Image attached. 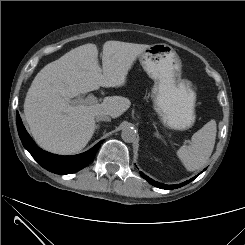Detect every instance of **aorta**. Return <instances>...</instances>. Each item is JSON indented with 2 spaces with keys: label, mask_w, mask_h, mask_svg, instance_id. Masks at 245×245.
Instances as JSON below:
<instances>
[{
  "label": "aorta",
  "mask_w": 245,
  "mask_h": 245,
  "mask_svg": "<svg viewBox=\"0 0 245 245\" xmlns=\"http://www.w3.org/2000/svg\"><path fill=\"white\" fill-rule=\"evenodd\" d=\"M136 130L132 127H125L122 129L121 137L124 142L132 143L136 140Z\"/></svg>",
  "instance_id": "aorta-1"
}]
</instances>
